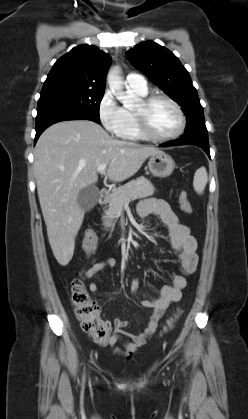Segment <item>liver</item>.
Listing matches in <instances>:
<instances>
[{
    "mask_svg": "<svg viewBox=\"0 0 248 419\" xmlns=\"http://www.w3.org/2000/svg\"><path fill=\"white\" fill-rule=\"evenodd\" d=\"M159 152L153 146L117 140L89 120L59 122L43 132L34 150L35 179L48 240L60 265L73 257L84 219L78 195L97 182L98 166L107 164L106 176L122 182Z\"/></svg>",
    "mask_w": 248,
    "mask_h": 419,
    "instance_id": "1",
    "label": "liver"
}]
</instances>
